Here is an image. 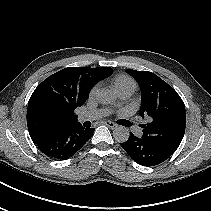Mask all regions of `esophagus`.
<instances>
[{
    "mask_svg": "<svg viewBox=\"0 0 211 211\" xmlns=\"http://www.w3.org/2000/svg\"><path fill=\"white\" fill-rule=\"evenodd\" d=\"M103 123L111 129H114L117 127V125L112 121H104Z\"/></svg>",
    "mask_w": 211,
    "mask_h": 211,
    "instance_id": "obj_1",
    "label": "esophagus"
}]
</instances>
